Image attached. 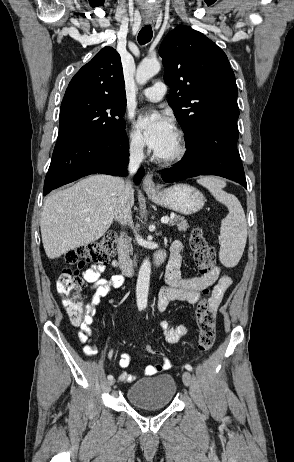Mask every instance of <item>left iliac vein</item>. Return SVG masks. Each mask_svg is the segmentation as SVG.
<instances>
[{
    "label": "left iliac vein",
    "mask_w": 294,
    "mask_h": 462,
    "mask_svg": "<svg viewBox=\"0 0 294 462\" xmlns=\"http://www.w3.org/2000/svg\"><path fill=\"white\" fill-rule=\"evenodd\" d=\"M182 380H183V383L186 385V386H190L191 385V382H192V376L190 374V372L188 371H185L182 375Z\"/></svg>",
    "instance_id": "obj_1"
}]
</instances>
